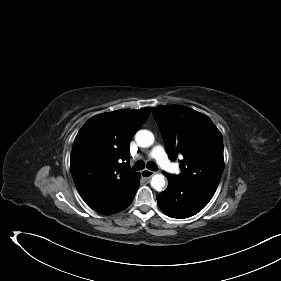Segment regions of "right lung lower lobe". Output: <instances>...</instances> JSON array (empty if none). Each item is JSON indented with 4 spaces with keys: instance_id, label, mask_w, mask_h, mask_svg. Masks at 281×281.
<instances>
[{
    "instance_id": "98d812e1",
    "label": "right lung lower lobe",
    "mask_w": 281,
    "mask_h": 281,
    "mask_svg": "<svg viewBox=\"0 0 281 281\" xmlns=\"http://www.w3.org/2000/svg\"><path fill=\"white\" fill-rule=\"evenodd\" d=\"M138 186H139V181H138V184H137V188H136V191H137V189H138ZM136 193V192H135ZM134 196H135V194L133 195V197L131 198V200L129 201V203L126 205V207H128L130 204H131V202L133 201V199H134ZM125 207V208H126ZM124 208V209H125Z\"/></svg>"
}]
</instances>
